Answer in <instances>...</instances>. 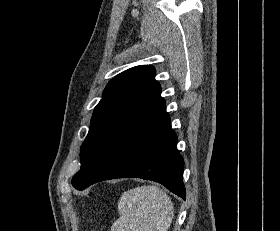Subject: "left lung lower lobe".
I'll list each match as a JSON object with an SVG mask.
<instances>
[{"label": "left lung lower lobe", "instance_id": "obj_1", "mask_svg": "<svg viewBox=\"0 0 280 231\" xmlns=\"http://www.w3.org/2000/svg\"><path fill=\"white\" fill-rule=\"evenodd\" d=\"M165 103L128 125L101 150L77 190L94 183L139 177L161 183L185 199L184 160Z\"/></svg>", "mask_w": 280, "mask_h": 231}]
</instances>
